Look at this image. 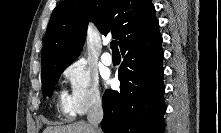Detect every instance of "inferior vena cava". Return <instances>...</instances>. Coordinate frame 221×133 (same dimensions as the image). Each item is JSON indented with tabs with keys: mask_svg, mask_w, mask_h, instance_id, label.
<instances>
[{
	"mask_svg": "<svg viewBox=\"0 0 221 133\" xmlns=\"http://www.w3.org/2000/svg\"><path fill=\"white\" fill-rule=\"evenodd\" d=\"M102 118H103L102 103H101V99L97 98V100L94 102L92 107L89 109L88 115H87L89 125L92 128V133H100L98 126Z\"/></svg>",
	"mask_w": 221,
	"mask_h": 133,
	"instance_id": "obj_1",
	"label": "inferior vena cava"
}]
</instances>
